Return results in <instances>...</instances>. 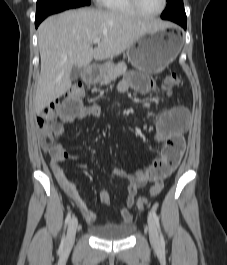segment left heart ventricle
Returning <instances> with one entry per match:
<instances>
[{"mask_svg":"<svg viewBox=\"0 0 227 265\" xmlns=\"http://www.w3.org/2000/svg\"><path fill=\"white\" fill-rule=\"evenodd\" d=\"M143 12L152 14L157 12L162 6V0H138Z\"/></svg>","mask_w":227,"mask_h":265,"instance_id":"1","label":"left heart ventricle"}]
</instances>
